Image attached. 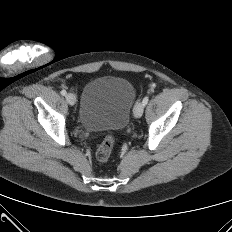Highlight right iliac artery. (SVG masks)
<instances>
[{
  "mask_svg": "<svg viewBox=\"0 0 232 232\" xmlns=\"http://www.w3.org/2000/svg\"><path fill=\"white\" fill-rule=\"evenodd\" d=\"M61 95L65 96L67 94L66 90H61Z\"/></svg>",
  "mask_w": 232,
  "mask_h": 232,
  "instance_id": "1",
  "label": "right iliac artery"
}]
</instances>
